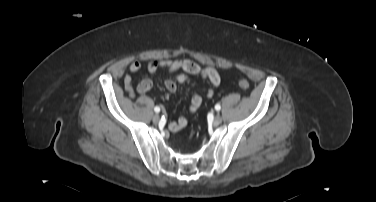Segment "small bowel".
Listing matches in <instances>:
<instances>
[{
  "label": "small bowel",
  "instance_id": "c3829d8e",
  "mask_svg": "<svg viewBox=\"0 0 376 202\" xmlns=\"http://www.w3.org/2000/svg\"><path fill=\"white\" fill-rule=\"evenodd\" d=\"M141 61H134L129 66L130 74H126L123 79L124 90L131 97H136L137 94L148 92L152 88V81L149 79L142 80L137 87L133 85L131 74L140 71L143 68ZM147 70L155 73L161 69H166L171 74V78L167 79L164 83L166 90L169 93H175L178 84L187 82L188 75H197L207 80L211 84V88L207 92V97L214 96V88L217 87L221 78L219 73L213 68L208 66H200L199 64L189 60H151L146 65ZM202 104V96L199 94L193 95L191 98L190 112L194 113ZM187 118L180 117L178 120L170 123L169 128L171 131L176 132L183 129L187 125Z\"/></svg>",
  "mask_w": 376,
  "mask_h": 202
}]
</instances>
